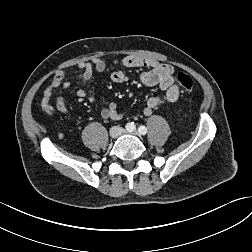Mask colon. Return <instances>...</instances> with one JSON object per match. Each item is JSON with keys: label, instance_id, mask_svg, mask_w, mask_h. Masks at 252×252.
<instances>
[{"label": "colon", "instance_id": "5ec220e1", "mask_svg": "<svg viewBox=\"0 0 252 252\" xmlns=\"http://www.w3.org/2000/svg\"><path fill=\"white\" fill-rule=\"evenodd\" d=\"M177 84L186 91H192L194 87V81L191 76L184 72H178L174 75Z\"/></svg>", "mask_w": 252, "mask_h": 252}]
</instances>
